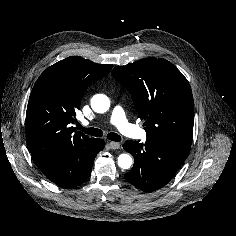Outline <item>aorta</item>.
<instances>
[{
    "instance_id": "762f6f07",
    "label": "aorta",
    "mask_w": 236,
    "mask_h": 236,
    "mask_svg": "<svg viewBox=\"0 0 236 236\" xmlns=\"http://www.w3.org/2000/svg\"><path fill=\"white\" fill-rule=\"evenodd\" d=\"M92 109L97 113H104L110 107V101L105 96L102 100L101 105L97 102H91ZM132 157L129 154H120L118 157V166L122 169H129L132 165Z\"/></svg>"
}]
</instances>
